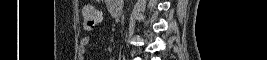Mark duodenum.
Wrapping results in <instances>:
<instances>
[{
    "mask_svg": "<svg viewBox=\"0 0 267 60\" xmlns=\"http://www.w3.org/2000/svg\"><path fill=\"white\" fill-rule=\"evenodd\" d=\"M123 1L121 0H111L108 2L110 13L113 17H118L120 14V11L122 9L121 3Z\"/></svg>",
    "mask_w": 267,
    "mask_h": 60,
    "instance_id": "duodenum-1",
    "label": "duodenum"
}]
</instances>
